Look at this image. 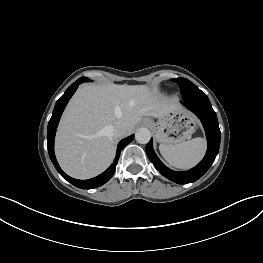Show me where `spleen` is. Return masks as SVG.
Here are the masks:
<instances>
[{"mask_svg":"<svg viewBox=\"0 0 263 263\" xmlns=\"http://www.w3.org/2000/svg\"><path fill=\"white\" fill-rule=\"evenodd\" d=\"M159 150L171 166L178 169H190L204 157L206 141L197 137L173 145L160 144Z\"/></svg>","mask_w":263,"mask_h":263,"instance_id":"spleen-1","label":"spleen"}]
</instances>
